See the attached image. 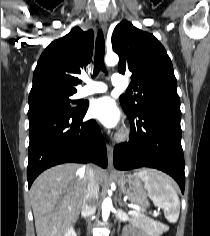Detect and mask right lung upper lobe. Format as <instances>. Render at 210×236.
Instances as JSON below:
<instances>
[{
  "instance_id": "1",
  "label": "right lung upper lobe",
  "mask_w": 210,
  "mask_h": 236,
  "mask_svg": "<svg viewBox=\"0 0 210 236\" xmlns=\"http://www.w3.org/2000/svg\"><path fill=\"white\" fill-rule=\"evenodd\" d=\"M93 42V30L84 32L78 27L51 42L35 68L29 101L48 91L76 93V75L91 61Z\"/></svg>"
}]
</instances>
